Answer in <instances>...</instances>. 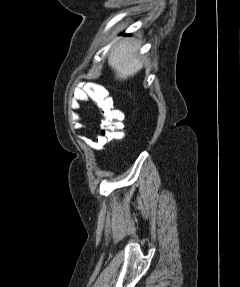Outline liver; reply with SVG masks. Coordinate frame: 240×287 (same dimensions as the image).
Instances as JSON below:
<instances>
[{"label": "liver", "mask_w": 240, "mask_h": 287, "mask_svg": "<svg viewBox=\"0 0 240 287\" xmlns=\"http://www.w3.org/2000/svg\"><path fill=\"white\" fill-rule=\"evenodd\" d=\"M108 63L114 70L116 79L119 80L134 76L143 67L142 60L136 54V48L127 39L112 49Z\"/></svg>", "instance_id": "liver-1"}]
</instances>
